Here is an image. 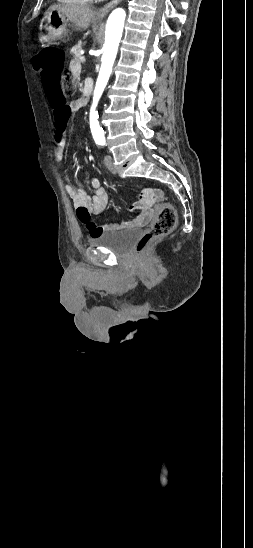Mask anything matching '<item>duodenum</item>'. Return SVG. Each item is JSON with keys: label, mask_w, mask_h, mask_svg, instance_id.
<instances>
[{"label": "duodenum", "mask_w": 253, "mask_h": 548, "mask_svg": "<svg viewBox=\"0 0 253 548\" xmlns=\"http://www.w3.org/2000/svg\"><path fill=\"white\" fill-rule=\"evenodd\" d=\"M93 85L91 81H87L83 88V93L86 97H89L92 94Z\"/></svg>", "instance_id": "1"}]
</instances>
